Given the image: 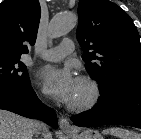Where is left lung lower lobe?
I'll return each instance as SVG.
<instances>
[{"mask_svg":"<svg viewBox=\"0 0 141 139\" xmlns=\"http://www.w3.org/2000/svg\"><path fill=\"white\" fill-rule=\"evenodd\" d=\"M71 120L81 127L125 125L141 128V84L124 85L101 95L92 109Z\"/></svg>","mask_w":141,"mask_h":139,"instance_id":"obj_1","label":"left lung lower lobe"}]
</instances>
